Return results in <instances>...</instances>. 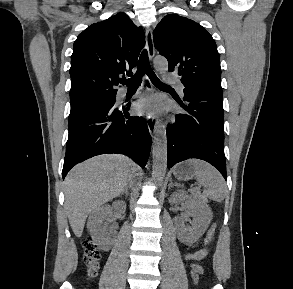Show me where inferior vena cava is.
Wrapping results in <instances>:
<instances>
[{"instance_id":"602c4592","label":"inferior vena cava","mask_w":293,"mask_h":289,"mask_svg":"<svg viewBox=\"0 0 293 289\" xmlns=\"http://www.w3.org/2000/svg\"><path fill=\"white\" fill-rule=\"evenodd\" d=\"M135 183V175H131L128 179V185L133 186Z\"/></svg>"}]
</instances>
